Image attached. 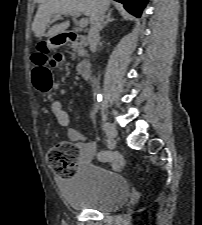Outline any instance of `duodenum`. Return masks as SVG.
<instances>
[{"instance_id":"410a0bca","label":"duodenum","mask_w":202,"mask_h":225,"mask_svg":"<svg viewBox=\"0 0 202 225\" xmlns=\"http://www.w3.org/2000/svg\"><path fill=\"white\" fill-rule=\"evenodd\" d=\"M57 44L62 46L64 43H72L75 46H81L85 42V37L75 31H68L58 34L55 37ZM78 74L84 78H89L91 75V67L88 62H81L77 67Z\"/></svg>"}]
</instances>
